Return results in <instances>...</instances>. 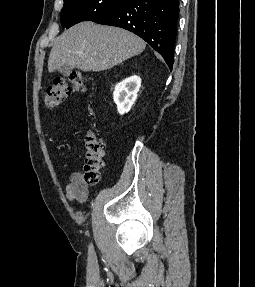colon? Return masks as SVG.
I'll return each mask as SVG.
<instances>
[{
  "mask_svg": "<svg viewBox=\"0 0 255 287\" xmlns=\"http://www.w3.org/2000/svg\"><path fill=\"white\" fill-rule=\"evenodd\" d=\"M88 82L79 72H71L67 79L57 78L47 88L43 97V104L47 109L59 106L64 99L74 91H85ZM85 165L84 181L88 185H97L101 180V170L105 155V143L102 138L93 132L85 137Z\"/></svg>",
  "mask_w": 255,
  "mask_h": 287,
  "instance_id": "obj_1",
  "label": "colon"
}]
</instances>
